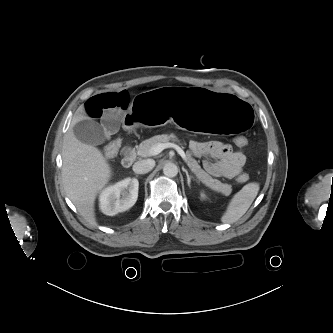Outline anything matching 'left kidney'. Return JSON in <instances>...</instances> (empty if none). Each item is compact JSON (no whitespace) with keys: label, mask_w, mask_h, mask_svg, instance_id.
Masks as SVG:
<instances>
[{"label":"left kidney","mask_w":333,"mask_h":333,"mask_svg":"<svg viewBox=\"0 0 333 333\" xmlns=\"http://www.w3.org/2000/svg\"><path fill=\"white\" fill-rule=\"evenodd\" d=\"M202 198H205V195H204V194H202Z\"/></svg>","instance_id":"5707ae66"}]
</instances>
